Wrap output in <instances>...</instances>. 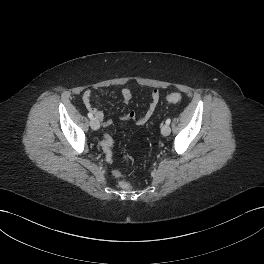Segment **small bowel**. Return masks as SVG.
Masks as SVG:
<instances>
[{"label": "small bowel", "mask_w": 264, "mask_h": 264, "mask_svg": "<svg viewBox=\"0 0 264 264\" xmlns=\"http://www.w3.org/2000/svg\"><path fill=\"white\" fill-rule=\"evenodd\" d=\"M102 93L99 92L98 95H101ZM160 91L157 89H154L151 91L150 93V103L149 106L147 108V110L140 116H137L134 112H129L127 114L122 115L120 118L124 121H132L136 126H143L145 125L148 120L153 116L156 107L158 105V102L160 100ZM93 97V92L91 90H87L84 92L83 94V101L85 104V107L87 108V110L96 117V119L98 121L101 122L103 127H109L112 124V120L111 119H106L104 117V113L101 109L95 107L92 102L91 99ZM121 97L125 102H128L129 100L132 99L133 97V92L128 89V88H124L121 90ZM107 161L112 162L113 160V155L111 156H105ZM115 176L118 174V171L114 172Z\"/></svg>", "instance_id": "1"}]
</instances>
